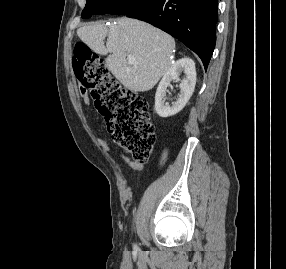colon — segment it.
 Listing matches in <instances>:
<instances>
[{"instance_id":"1","label":"colon","mask_w":286,"mask_h":269,"mask_svg":"<svg viewBox=\"0 0 286 269\" xmlns=\"http://www.w3.org/2000/svg\"><path fill=\"white\" fill-rule=\"evenodd\" d=\"M72 64L79 83L89 90L95 107L105 119L112 140L134 161L147 162L156 139L149 120L148 100L122 87L84 42L75 43Z\"/></svg>"}]
</instances>
